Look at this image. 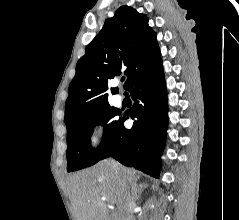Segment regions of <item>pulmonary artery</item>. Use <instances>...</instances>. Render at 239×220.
Instances as JSON below:
<instances>
[{"label":"pulmonary artery","mask_w":239,"mask_h":220,"mask_svg":"<svg viewBox=\"0 0 239 220\" xmlns=\"http://www.w3.org/2000/svg\"><path fill=\"white\" fill-rule=\"evenodd\" d=\"M113 102H114V104L115 105H121V103H122V98H121V96H119V95H116L115 97H114V99H113Z\"/></svg>","instance_id":"e3ab8cb5"}]
</instances>
